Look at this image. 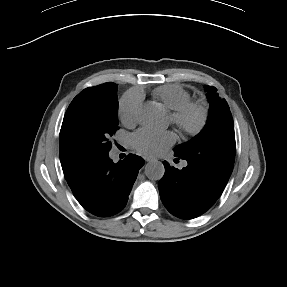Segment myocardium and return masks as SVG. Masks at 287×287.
I'll return each mask as SVG.
<instances>
[{
    "label": "myocardium",
    "instance_id": "myocardium-1",
    "mask_svg": "<svg viewBox=\"0 0 287 287\" xmlns=\"http://www.w3.org/2000/svg\"><path fill=\"white\" fill-rule=\"evenodd\" d=\"M207 118L205 105L190 100L171 114L170 121L185 135L194 136L204 129Z\"/></svg>",
    "mask_w": 287,
    "mask_h": 287
}]
</instances>
